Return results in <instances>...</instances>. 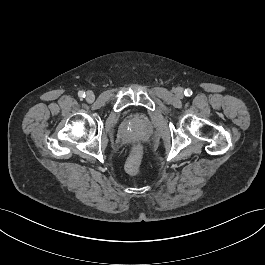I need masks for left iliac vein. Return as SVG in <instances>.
I'll list each match as a JSON object with an SVG mask.
<instances>
[{"instance_id": "left-iliac-vein-1", "label": "left iliac vein", "mask_w": 265, "mask_h": 265, "mask_svg": "<svg viewBox=\"0 0 265 265\" xmlns=\"http://www.w3.org/2000/svg\"><path fill=\"white\" fill-rule=\"evenodd\" d=\"M176 95H177V97L182 98L183 97V89L178 87L176 89Z\"/></svg>"}]
</instances>
